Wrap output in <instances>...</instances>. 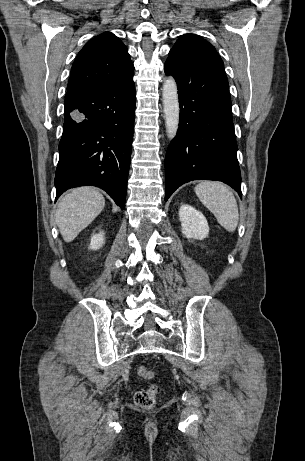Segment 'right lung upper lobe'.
Wrapping results in <instances>:
<instances>
[{
	"label": "right lung upper lobe",
	"instance_id": "cb5924a9",
	"mask_svg": "<svg viewBox=\"0 0 305 461\" xmlns=\"http://www.w3.org/2000/svg\"><path fill=\"white\" fill-rule=\"evenodd\" d=\"M133 74L126 46L114 34L105 32L89 40L77 55L67 93L108 86Z\"/></svg>",
	"mask_w": 305,
	"mask_h": 461
}]
</instances>
